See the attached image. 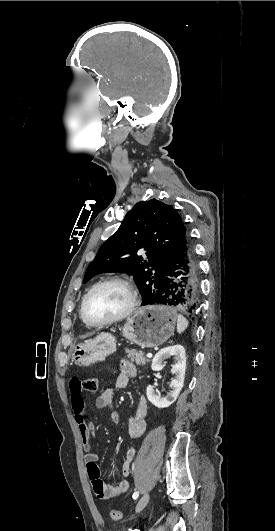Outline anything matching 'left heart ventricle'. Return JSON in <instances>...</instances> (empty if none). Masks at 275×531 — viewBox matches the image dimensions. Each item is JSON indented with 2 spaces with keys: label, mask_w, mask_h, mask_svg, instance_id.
Listing matches in <instances>:
<instances>
[{
  "label": "left heart ventricle",
  "mask_w": 275,
  "mask_h": 531,
  "mask_svg": "<svg viewBox=\"0 0 275 531\" xmlns=\"http://www.w3.org/2000/svg\"><path fill=\"white\" fill-rule=\"evenodd\" d=\"M129 300V294L123 286L119 284L102 286L86 300L85 316L92 322L111 319L127 309Z\"/></svg>",
  "instance_id": "left-heart-ventricle-1"
}]
</instances>
